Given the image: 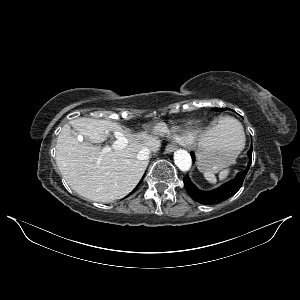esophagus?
<instances>
[{
	"instance_id": "34e87169",
	"label": "esophagus",
	"mask_w": 300,
	"mask_h": 300,
	"mask_svg": "<svg viewBox=\"0 0 300 300\" xmlns=\"http://www.w3.org/2000/svg\"><path fill=\"white\" fill-rule=\"evenodd\" d=\"M175 150V147L173 145H168L165 149L166 153H171Z\"/></svg>"
}]
</instances>
